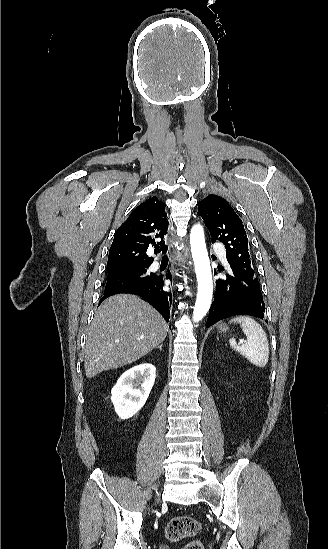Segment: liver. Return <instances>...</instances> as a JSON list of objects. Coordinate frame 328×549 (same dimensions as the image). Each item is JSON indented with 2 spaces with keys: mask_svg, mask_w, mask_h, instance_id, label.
<instances>
[{
  "mask_svg": "<svg viewBox=\"0 0 328 549\" xmlns=\"http://www.w3.org/2000/svg\"><path fill=\"white\" fill-rule=\"evenodd\" d=\"M162 315L136 295H113L95 311L85 345V375L138 361L167 337Z\"/></svg>",
  "mask_w": 328,
  "mask_h": 549,
  "instance_id": "6515ba94",
  "label": "liver"
}]
</instances>
